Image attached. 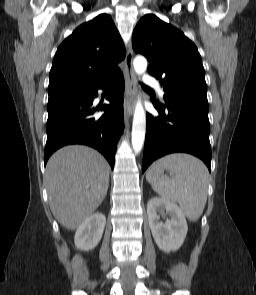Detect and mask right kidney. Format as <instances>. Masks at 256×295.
Listing matches in <instances>:
<instances>
[{
	"instance_id": "obj_1",
	"label": "right kidney",
	"mask_w": 256,
	"mask_h": 295,
	"mask_svg": "<svg viewBox=\"0 0 256 295\" xmlns=\"http://www.w3.org/2000/svg\"><path fill=\"white\" fill-rule=\"evenodd\" d=\"M105 224L106 217L102 213L92 214L77 228L75 246L85 251L95 248L102 238Z\"/></svg>"
}]
</instances>
